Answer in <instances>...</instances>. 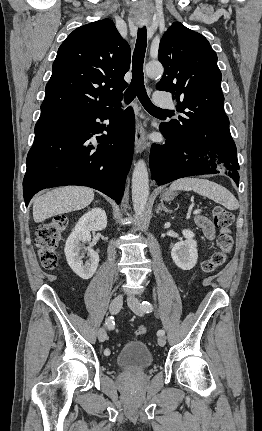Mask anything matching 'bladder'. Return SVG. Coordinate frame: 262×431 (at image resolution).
I'll return each mask as SVG.
<instances>
[{
  "instance_id": "bladder-1",
  "label": "bladder",
  "mask_w": 262,
  "mask_h": 431,
  "mask_svg": "<svg viewBox=\"0 0 262 431\" xmlns=\"http://www.w3.org/2000/svg\"><path fill=\"white\" fill-rule=\"evenodd\" d=\"M153 356L141 340L129 341L116 355V362L127 371H137L151 365Z\"/></svg>"
}]
</instances>
